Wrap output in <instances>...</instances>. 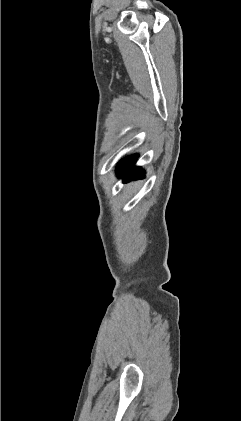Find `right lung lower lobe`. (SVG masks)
Listing matches in <instances>:
<instances>
[{"mask_svg": "<svg viewBox=\"0 0 241 421\" xmlns=\"http://www.w3.org/2000/svg\"><path fill=\"white\" fill-rule=\"evenodd\" d=\"M137 157L136 155L130 156L119 164L118 177H123L127 181L143 177L145 172L140 167L135 166Z\"/></svg>", "mask_w": 241, "mask_h": 421, "instance_id": "98d812e1", "label": "right lung lower lobe"}]
</instances>
